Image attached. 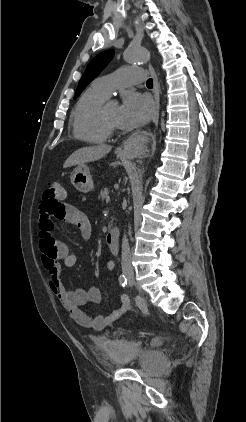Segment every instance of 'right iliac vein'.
<instances>
[{
  "mask_svg": "<svg viewBox=\"0 0 246 422\" xmlns=\"http://www.w3.org/2000/svg\"><path fill=\"white\" fill-rule=\"evenodd\" d=\"M126 277L129 280V282L132 285H134L139 290V292L141 294L140 301L144 302L145 301V298L143 296L144 294H143L141 288L139 287L138 283L136 282L135 277H134V274H132V273H126Z\"/></svg>",
  "mask_w": 246,
  "mask_h": 422,
  "instance_id": "63e3f726",
  "label": "right iliac vein"
}]
</instances>
